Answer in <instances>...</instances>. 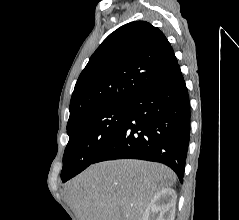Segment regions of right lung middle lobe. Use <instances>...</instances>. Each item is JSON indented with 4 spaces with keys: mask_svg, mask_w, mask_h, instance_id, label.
I'll return each instance as SVG.
<instances>
[{
    "mask_svg": "<svg viewBox=\"0 0 239 220\" xmlns=\"http://www.w3.org/2000/svg\"><path fill=\"white\" fill-rule=\"evenodd\" d=\"M128 103L88 113L67 125L69 142L63 156L62 182L90 164L113 137L127 116Z\"/></svg>",
    "mask_w": 239,
    "mask_h": 220,
    "instance_id": "obj_1",
    "label": "right lung middle lobe"
}]
</instances>
